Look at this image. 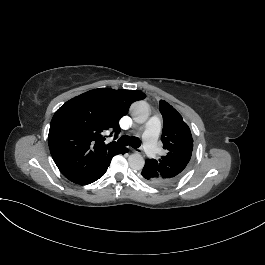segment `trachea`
Wrapping results in <instances>:
<instances>
[{"label":"trachea","mask_w":265,"mask_h":265,"mask_svg":"<svg viewBox=\"0 0 265 265\" xmlns=\"http://www.w3.org/2000/svg\"><path fill=\"white\" fill-rule=\"evenodd\" d=\"M118 143L122 146H127L130 145L133 148H138L141 145L140 139L137 137H129L127 135L122 136L119 140Z\"/></svg>","instance_id":"1"}]
</instances>
